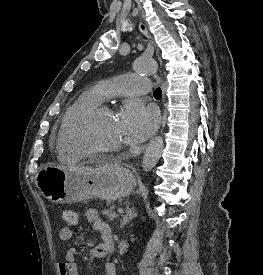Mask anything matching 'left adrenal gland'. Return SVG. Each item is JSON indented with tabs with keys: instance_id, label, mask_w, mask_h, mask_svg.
Here are the masks:
<instances>
[{
	"instance_id": "left-adrenal-gland-1",
	"label": "left adrenal gland",
	"mask_w": 263,
	"mask_h": 275,
	"mask_svg": "<svg viewBox=\"0 0 263 275\" xmlns=\"http://www.w3.org/2000/svg\"><path fill=\"white\" fill-rule=\"evenodd\" d=\"M138 213L134 207L130 208L129 205L126 206L125 215L121 221V227L128 224L134 217H136Z\"/></svg>"
}]
</instances>
